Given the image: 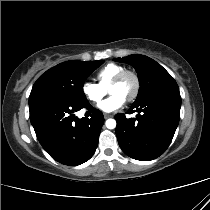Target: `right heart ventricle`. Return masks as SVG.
<instances>
[{
  "mask_svg": "<svg viewBox=\"0 0 210 210\" xmlns=\"http://www.w3.org/2000/svg\"><path fill=\"white\" fill-rule=\"evenodd\" d=\"M125 68L119 64L108 63L99 69L96 73V79L98 81V85L104 90L107 89L113 79Z\"/></svg>",
  "mask_w": 210,
  "mask_h": 210,
  "instance_id": "right-heart-ventricle-1",
  "label": "right heart ventricle"
}]
</instances>
